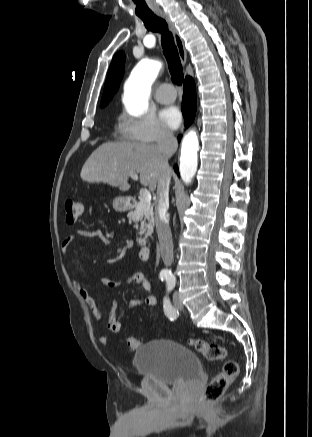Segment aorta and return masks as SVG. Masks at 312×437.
Masks as SVG:
<instances>
[{
  "label": "aorta",
  "instance_id": "obj_1",
  "mask_svg": "<svg viewBox=\"0 0 312 437\" xmlns=\"http://www.w3.org/2000/svg\"><path fill=\"white\" fill-rule=\"evenodd\" d=\"M161 69V63L143 59L133 69L125 84L124 104L132 116L142 115L148 108L151 86ZM199 150L198 136L190 131L183 138L180 156V175L185 184H190L197 171Z\"/></svg>",
  "mask_w": 312,
  "mask_h": 437
}]
</instances>
